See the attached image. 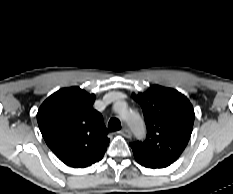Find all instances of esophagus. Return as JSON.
<instances>
[{
    "mask_svg": "<svg viewBox=\"0 0 233 194\" xmlns=\"http://www.w3.org/2000/svg\"><path fill=\"white\" fill-rule=\"evenodd\" d=\"M119 133L121 135H123L124 137H126V138H131L132 137V134H131L130 130L127 129V128H123L122 130L119 131Z\"/></svg>",
    "mask_w": 233,
    "mask_h": 194,
    "instance_id": "1",
    "label": "esophagus"
}]
</instances>
